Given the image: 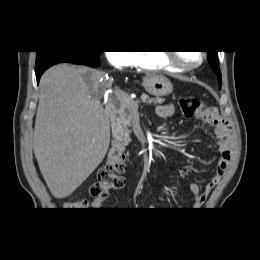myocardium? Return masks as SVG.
I'll return each instance as SVG.
<instances>
[{
  "instance_id": "f54148a6",
  "label": "myocardium",
  "mask_w": 260,
  "mask_h": 260,
  "mask_svg": "<svg viewBox=\"0 0 260 260\" xmlns=\"http://www.w3.org/2000/svg\"><path fill=\"white\" fill-rule=\"evenodd\" d=\"M163 54H164L165 58L167 59V61L172 66H174L175 68H177L179 70H184V71H189V70L197 68L198 66H200L203 63V61L205 59V53L202 51L199 52L200 59L197 62L191 63V64L182 62L179 59L178 54L174 51H166Z\"/></svg>"
}]
</instances>
